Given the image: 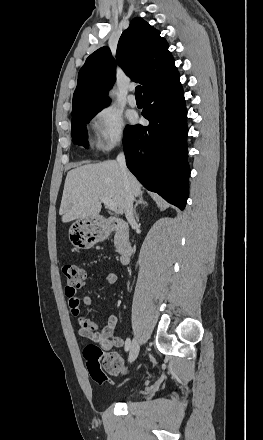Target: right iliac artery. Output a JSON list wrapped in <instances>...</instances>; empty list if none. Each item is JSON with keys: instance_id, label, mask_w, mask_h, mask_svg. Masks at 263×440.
<instances>
[{"instance_id": "right-iliac-artery-1", "label": "right iliac artery", "mask_w": 263, "mask_h": 440, "mask_svg": "<svg viewBox=\"0 0 263 440\" xmlns=\"http://www.w3.org/2000/svg\"><path fill=\"white\" fill-rule=\"evenodd\" d=\"M130 347H131V340L130 338H127L125 341V351L126 352L129 351Z\"/></svg>"}]
</instances>
